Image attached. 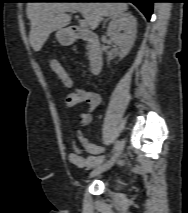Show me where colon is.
I'll return each mask as SVG.
<instances>
[{"instance_id": "1", "label": "colon", "mask_w": 188, "mask_h": 213, "mask_svg": "<svg viewBox=\"0 0 188 213\" xmlns=\"http://www.w3.org/2000/svg\"><path fill=\"white\" fill-rule=\"evenodd\" d=\"M51 68L53 70V72L62 80L64 81L66 84L70 85L71 84V80L68 77L66 70L64 68V66L57 60H52L50 62Z\"/></svg>"}]
</instances>
